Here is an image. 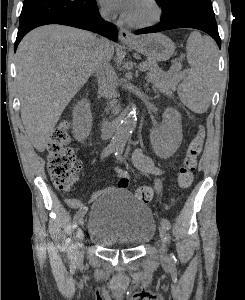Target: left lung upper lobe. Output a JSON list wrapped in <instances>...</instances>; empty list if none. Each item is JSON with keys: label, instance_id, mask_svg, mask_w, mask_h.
<instances>
[{"label": "left lung upper lobe", "instance_id": "left-lung-upper-lobe-1", "mask_svg": "<svg viewBox=\"0 0 245 300\" xmlns=\"http://www.w3.org/2000/svg\"><path fill=\"white\" fill-rule=\"evenodd\" d=\"M162 8V17L165 19L180 8L201 10L214 15L211 0H157Z\"/></svg>", "mask_w": 245, "mask_h": 300}]
</instances>
